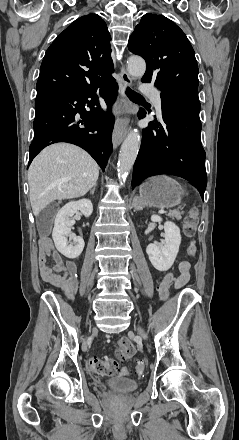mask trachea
Wrapping results in <instances>:
<instances>
[{
    "label": "trachea",
    "mask_w": 239,
    "mask_h": 440,
    "mask_svg": "<svg viewBox=\"0 0 239 440\" xmlns=\"http://www.w3.org/2000/svg\"><path fill=\"white\" fill-rule=\"evenodd\" d=\"M126 95H127L132 101L143 100V97H141V95H139V93L134 92V91L131 90L130 88H127V89H126Z\"/></svg>",
    "instance_id": "3493384b"
}]
</instances>
